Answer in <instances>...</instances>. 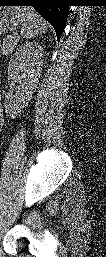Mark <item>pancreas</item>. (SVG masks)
<instances>
[{"mask_svg": "<svg viewBox=\"0 0 106 257\" xmlns=\"http://www.w3.org/2000/svg\"><path fill=\"white\" fill-rule=\"evenodd\" d=\"M19 41L18 36H8L3 38L0 44V53L1 55H9L12 53Z\"/></svg>", "mask_w": 106, "mask_h": 257, "instance_id": "pancreas-1", "label": "pancreas"}]
</instances>
